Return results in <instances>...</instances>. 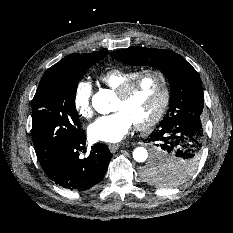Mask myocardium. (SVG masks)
<instances>
[{"label":"myocardium","instance_id":"1","mask_svg":"<svg viewBox=\"0 0 233 233\" xmlns=\"http://www.w3.org/2000/svg\"><path fill=\"white\" fill-rule=\"evenodd\" d=\"M147 75H153L159 80L161 94L158 106L154 113L147 120L135 123V127L140 131H146L154 127L162 119L168 108L170 102V88L166 74L156 68H146L138 71L116 90V94L119 97L125 98L130 94L137 82Z\"/></svg>","mask_w":233,"mask_h":233}]
</instances>
